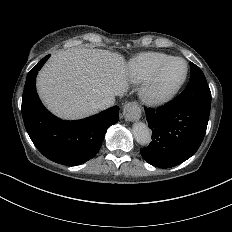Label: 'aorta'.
I'll return each instance as SVG.
<instances>
[{
  "label": "aorta",
  "instance_id": "aorta-1",
  "mask_svg": "<svg viewBox=\"0 0 232 232\" xmlns=\"http://www.w3.org/2000/svg\"><path fill=\"white\" fill-rule=\"evenodd\" d=\"M132 132L135 140L141 145H148L151 142V131L143 122L133 124Z\"/></svg>",
  "mask_w": 232,
  "mask_h": 232
}]
</instances>
